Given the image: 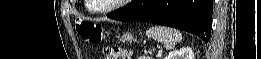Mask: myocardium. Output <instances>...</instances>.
<instances>
[{
  "label": "myocardium",
  "instance_id": "obj_1",
  "mask_svg": "<svg viewBox=\"0 0 261 59\" xmlns=\"http://www.w3.org/2000/svg\"><path fill=\"white\" fill-rule=\"evenodd\" d=\"M126 0H117L116 3H114L113 5L107 7V8H104V9H91L92 11L94 12H97V13H108V12H111L113 10H115L116 8L120 7L122 3H124Z\"/></svg>",
  "mask_w": 261,
  "mask_h": 59
}]
</instances>
